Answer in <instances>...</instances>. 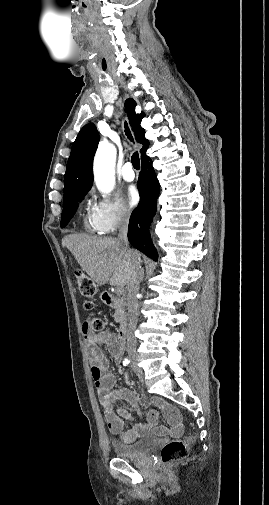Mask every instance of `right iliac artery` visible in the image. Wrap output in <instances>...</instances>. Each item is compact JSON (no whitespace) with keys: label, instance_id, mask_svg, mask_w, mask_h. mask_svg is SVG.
<instances>
[{"label":"right iliac artery","instance_id":"1","mask_svg":"<svg viewBox=\"0 0 269 505\" xmlns=\"http://www.w3.org/2000/svg\"><path fill=\"white\" fill-rule=\"evenodd\" d=\"M130 363V360L128 358H125L123 361V365L127 366Z\"/></svg>","mask_w":269,"mask_h":505}]
</instances>
